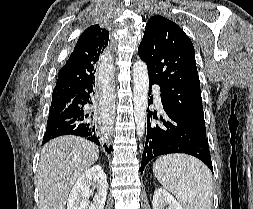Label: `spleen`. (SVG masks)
Wrapping results in <instances>:
<instances>
[{
    "instance_id": "obj_1",
    "label": "spleen",
    "mask_w": 253,
    "mask_h": 209,
    "mask_svg": "<svg viewBox=\"0 0 253 209\" xmlns=\"http://www.w3.org/2000/svg\"><path fill=\"white\" fill-rule=\"evenodd\" d=\"M153 172L184 209H211L212 174L198 159L183 154L161 156L155 161Z\"/></svg>"
}]
</instances>
